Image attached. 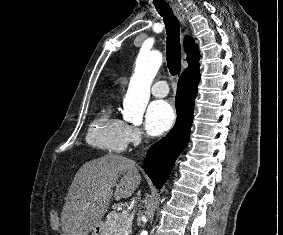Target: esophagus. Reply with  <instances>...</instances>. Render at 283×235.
<instances>
[{"mask_svg":"<svg viewBox=\"0 0 283 235\" xmlns=\"http://www.w3.org/2000/svg\"><path fill=\"white\" fill-rule=\"evenodd\" d=\"M172 7L174 8L181 24L185 27L186 26V20H185V14L183 13V10H181V8L179 7L178 4L176 3H171Z\"/></svg>","mask_w":283,"mask_h":235,"instance_id":"34e87169","label":"esophagus"}]
</instances>
